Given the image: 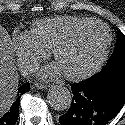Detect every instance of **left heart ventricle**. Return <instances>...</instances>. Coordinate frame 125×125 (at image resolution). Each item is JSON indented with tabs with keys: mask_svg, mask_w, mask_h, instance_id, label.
I'll use <instances>...</instances> for the list:
<instances>
[{
	"mask_svg": "<svg viewBox=\"0 0 125 125\" xmlns=\"http://www.w3.org/2000/svg\"><path fill=\"white\" fill-rule=\"evenodd\" d=\"M106 31L98 24L81 29L58 53L56 63L67 74L86 70L100 57L105 43Z\"/></svg>",
	"mask_w": 125,
	"mask_h": 125,
	"instance_id": "left-heart-ventricle-1",
	"label": "left heart ventricle"
}]
</instances>
